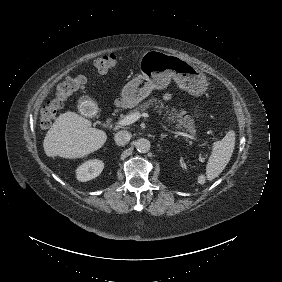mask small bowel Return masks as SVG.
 <instances>
[{"label":"small bowel","instance_id":"c3829d8e","mask_svg":"<svg viewBox=\"0 0 282 282\" xmlns=\"http://www.w3.org/2000/svg\"><path fill=\"white\" fill-rule=\"evenodd\" d=\"M171 99H172V95L169 94V93H167V94H165V95L163 96V100H164L165 102H168V101H170Z\"/></svg>","mask_w":282,"mask_h":282}]
</instances>
